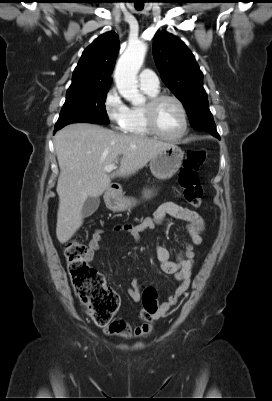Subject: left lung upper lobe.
Here are the masks:
<instances>
[{
	"instance_id": "1",
	"label": "left lung upper lobe",
	"mask_w": 272,
	"mask_h": 401,
	"mask_svg": "<svg viewBox=\"0 0 272 401\" xmlns=\"http://www.w3.org/2000/svg\"><path fill=\"white\" fill-rule=\"evenodd\" d=\"M153 55L161 79L183 103L192 127L216 131L203 88V73L185 43L166 31L158 32Z\"/></svg>"
}]
</instances>
